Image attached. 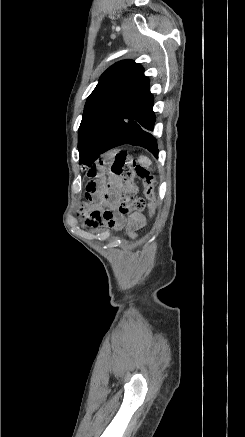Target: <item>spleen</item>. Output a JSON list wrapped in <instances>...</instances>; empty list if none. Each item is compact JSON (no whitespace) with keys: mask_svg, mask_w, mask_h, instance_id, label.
<instances>
[{"mask_svg":"<svg viewBox=\"0 0 245 437\" xmlns=\"http://www.w3.org/2000/svg\"><path fill=\"white\" fill-rule=\"evenodd\" d=\"M140 160H142V161L145 162L146 164H151V161H150L147 157H145V156H141V157H140Z\"/></svg>","mask_w":245,"mask_h":437,"instance_id":"1","label":"spleen"}]
</instances>
